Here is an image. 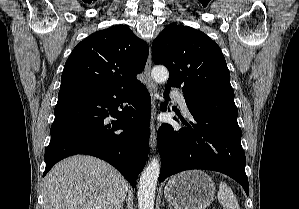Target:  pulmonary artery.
<instances>
[{
    "label": "pulmonary artery",
    "mask_w": 299,
    "mask_h": 209,
    "mask_svg": "<svg viewBox=\"0 0 299 209\" xmlns=\"http://www.w3.org/2000/svg\"><path fill=\"white\" fill-rule=\"evenodd\" d=\"M172 96L174 97V99L179 104V106L182 109L183 113L188 116L189 115V110H188L184 95L179 91H173Z\"/></svg>",
    "instance_id": "e3ab8cb5"
}]
</instances>
